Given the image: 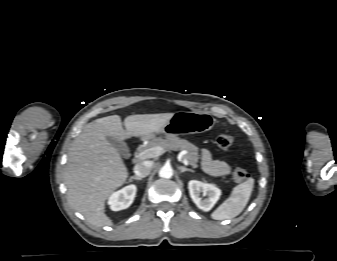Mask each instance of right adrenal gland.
Listing matches in <instances>:
<instances>
[{
    "instance_id": "1",
    "label": "right adrenal gland",
    "mask_w": 337,
    "mask_h": 261,
    "mask_svg": "<svg viewBox=\"0 0 337 261\" xmlns=\"http://www.w3.org/2000/svg\"><path fill=\"white\" fill-rule=\"evenodd\" d=\"M135 179V180H142V177L139 176H131L130 180Z\"/></svg>"
}]
</instances>
